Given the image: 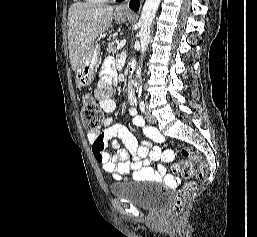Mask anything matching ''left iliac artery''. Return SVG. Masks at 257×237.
Listing matches in <instances>:
<instances>
[{
  "mask_svg": "<svg viewBox=\"0 0 257 237\" xmlns=\"http://www.w3.org/2000/svg\"><path fill=\"white\" fill-rule=\"evenodd\" d=\"M140 109L142 112H146L147 105L144 103V101L140 102Z\"/></svg>",
  "mask_w": 257,
  "mask_h": 237,
  "instance_id": "left-iliac-artery-1",
  "label": "left iliac artery"
}]
</instances>
